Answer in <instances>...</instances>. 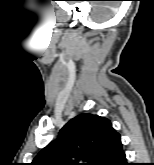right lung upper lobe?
Instances as JSON below:
<instances>
[{
  "label": "right lung upper lobe",
  "instance_id": "1",
  "mask_svg": "<svg viewBox=\"0 0 154 165\" xmlns=\"http://www.w3.org/2000/svg\"><path fill=\"white\" fill-rule=\"evenodd\" d=\"M117 134L106 118L78 115L64 125L58 138L42 149L32 165H96Z\"/></svg>",
  "mask_w": 154,
  "mask_h": 165
}]
</instances>
